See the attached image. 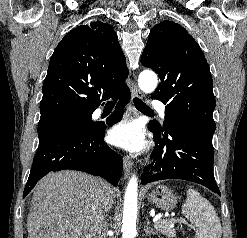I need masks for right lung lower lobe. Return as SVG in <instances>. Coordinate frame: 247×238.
Segmentation results:
<instances>
[{
  "label": "right lung lower lobe",
  "mask_w": 247,
  "mask_h": 238,
  "mask_svg": "<svg viewBox=\"0 0 247 238\" xmlns=\"http://www.w3.org/2000/svg\"><path fill=\"white\" fill-rule=\"evenodd\" d=\"M114 97L119 99V102L116 111L107 120L108 125L121 121L120 111L130 97L128 86ZM105 128V124L95 123L87 129L67 131L39 143L23 198L43 176L51 171L65 169L101 176L116 187L122 174L123 163L121 156L104 142Z\"/></svg>",
  "instance_id": "98d812e1"
}]
</instances>
